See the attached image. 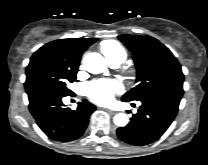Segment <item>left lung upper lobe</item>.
I'll return each mask as SVG.
<instances>
[{
    "label": "left lung upper lobe",
    "instance_id": "1",
    "mask_svg": "<svg viewBox=\"0 0 208 165\" xmlns=\"http://www.w3.org/2000/svg\"><path fill=\"white\" fill-rule=\"evenodd\" d=\"M119 39L133 54L138 85L123 95V101L141 100L163 89L183 91L184 75L170 50L150 36L121 35Z\"/></svg>",
    "mask_w": 208,
    "mask_h": 165
}]
</instances>
